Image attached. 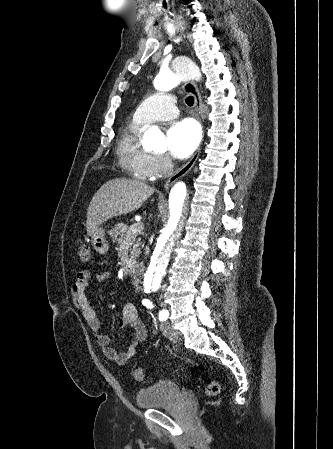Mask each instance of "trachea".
Returning <instances> with one entry per match:
<instances>
[{
    "label": "trachea",
    "instance_id": "3493384b",
    "mask_svg": "<svg viewBox=\"0 0 333 449\" xmlns=\"http://www.w3.org/2000/svg\"><path fill=\"white\" fill-rule=\"evenodd\" d=\"M186 103L188 106H192L194 104V98L193 96H189L186 98Z\"/></svg>",
    "mask_w": 333,
    "mask_h": 449
}]
</instances>
